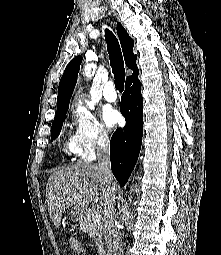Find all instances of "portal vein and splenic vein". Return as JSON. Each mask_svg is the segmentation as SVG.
Returning <instances> with one entry per match:
<instances>
[{
  "mask_svg": "<svg viewBox=\"0 0 221 255\" xmlns=\"http://www.w3.org/2000/svg\"><path fill=\"white\" fill-rule=\"evenodd\" d=\"M94 211L99 212V211H100V206H98V205H97V206H95V207H94Z\"/></svg>",
  "mask_w": 221,
  "mask_h": 255,
  "instance_id": "obj_1",
  "label": "portal vein and splenic vein"
}]
</instances>
